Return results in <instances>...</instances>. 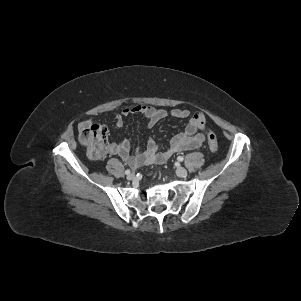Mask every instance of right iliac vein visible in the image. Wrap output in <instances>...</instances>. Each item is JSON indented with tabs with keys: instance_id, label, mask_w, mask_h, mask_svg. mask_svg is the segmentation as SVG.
<instances>
[{
	"instance_id": "obj_1",
	"label": "right iliac vein",
	"mask_w": 301,
	"mask_h": 301,
	"mask_svg": "<svg viewBox=\"0 0 301 301\" xmlns=\"http://www.w3.org/2000/svg\"><path fill=\"white\" fill-rule=\"evenodd\" d=\"M135 178V174L134 173H130L128 176H127V179L128 180H133Z\"/></svg>"
}]
</instances>
